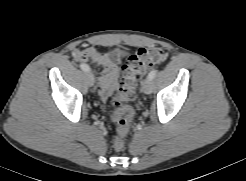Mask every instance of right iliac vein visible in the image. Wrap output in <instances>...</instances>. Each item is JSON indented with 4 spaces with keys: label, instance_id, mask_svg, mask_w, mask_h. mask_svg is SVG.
Returning <instances> with one entry per match:
<instances>
[{
    "label": "right iliac vein",
    "instance_id": "1",
    "mask_svg": "<svg viewBox=\"0 0 246 181\" xmlns=\"http://www.w3.org/2000/svg\"><path fill=\"white\" fill-rule=\"evenodd\" d=\"M86 76H87V79H88V82H89L90 86H92L93 83H94L93 75L90 72H87Z\"/></svg>",
    "mask_w": 246,
    "mask_h": 181
}]
</instances>
